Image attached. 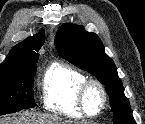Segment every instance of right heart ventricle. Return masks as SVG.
Instances as JSON below:
<instances>
[{
    "instance_id": "e07e8e85",
    "label": "right heart ventricle",
    "mask_w": 145,
    "mask_h": 124,
    "mask_svg": "<svg viewBox=\"0 0 145 124\" xmlns=\"http://www.w3.org/2000/svg\"><path fill=\"white\" fill-rule=\"evenodd\" d=\"M86 75L67 64L54 63L42 78V99L44 107L68 118H82L78 106V91Z\"/></svg>"
}]
</instances>
